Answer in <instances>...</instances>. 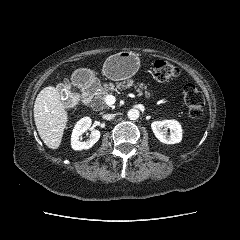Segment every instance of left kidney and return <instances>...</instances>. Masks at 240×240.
<instances>
[{"mask_svg": "<svg viewBox=\"0 0 240 240\" xmlns=\"http://www.w3.org/2000/svg\"><path fill=\"white\" fill-rule=\"evenodd\" d=\"M152 131L156 138L165 144H175L182 140V128L176 120L154 121L151 124ZM168 129L170 134L168 135Z\"/></svg>", "mask_w": 240, "mask_h": 240, "instance_id": "1", "label": "left kidney"}]
</instances>
